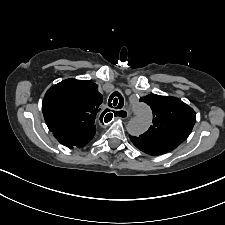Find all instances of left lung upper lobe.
Here are the masks:
<instances>
[{
  "label": "left lung upper lobe",
  "mask_w": 225,
  "mask_h": 225,
  "mask_svg": "<svg viewBox=\"0 0 225 225\" xmlns=\"http://www.w3.org/2000/svg\"><path fill=\"white\" fill-rule=\"evenodd\" d=\"M153 112L152 125L139 137L164 143L181 144L191 133L196 120L194 110L180 99L150 94L140 99Z\"/></svg>",
  "instance_id": "1"
}]
</instances>
